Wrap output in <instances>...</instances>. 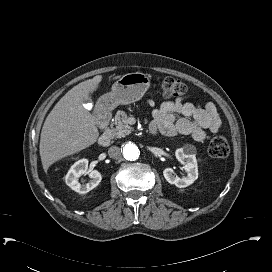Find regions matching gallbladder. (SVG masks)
<instances>
[{"label": "gallbladder", "instance_id": "bac80fb5", "mask_svg": "<svg viewBox=\"0 0 272 272\" xmlns=\"http://www.w3.org/2000/svg\"><path fill=\"white\" fill-rule=\"evenodd\" d=\"M86 102H91V98H88V99L86 100Z\"/></svg>", "mask_w": 272, "mask_h": 272}]
</instances>
